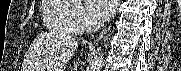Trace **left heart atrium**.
Returning <instances> with one entry per match:
<instances>
[{
	"instance_id": "left-heart-atrium-1",
	"label": "left heart atrium",
	"mask_w": 181,
	"mask_h": 71,
	"mask_svg": "<svg viewBox=\"0 0 181 71\" xmlns=\"http://www.w3.org/2000/svg\"><path fill=\"white\" fill-rule=\"evenodd\" d=\"M93 16L98 20H107L115 11V0H89L87 1Z\"/></svg>"
}]
</instances>
